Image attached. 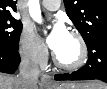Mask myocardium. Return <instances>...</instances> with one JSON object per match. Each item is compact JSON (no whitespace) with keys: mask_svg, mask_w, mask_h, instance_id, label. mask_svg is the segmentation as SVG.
Listing matches in <instances>:
<instances>
[{"mask_svg":"<svg viewBox=\"0 0 107 89\" xmlns=\"http://www.w3.org/2000/svg\"><path fill=\"white\" fill-rule=\"evenodd\" d=\"M69 35H71L76 40V42L79 46L78 59L72 63H65V62H62L57 57V55L54 53L53 61H54L55 65L57 67H59L60 69L74 71V70H77V69H80L81 67H83L85 65V63L87 62L88 47H87L85 39L79 32H77L75 30H71V31H69Z\"/></svg>","mask_w":107,"mask_h":89,"instance_id":"obj_1","label":"myocardium"}]
</instances>
